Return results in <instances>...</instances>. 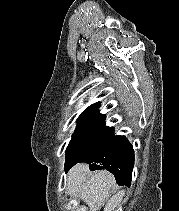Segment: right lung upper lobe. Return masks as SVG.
Returning a JSON list of instances; mask_svg holds the SVG:
<instances>
[{
	"instance_id": "1",
	"label": "right lung upper lobe",
	"mask_w": 179,
	"mask_h": 211,
	"mask_svg": "<svg viewBox=\"0 0 179 211\" xmlns=\"http://www.w3.org/2000/svg\"><path fill=\"white\" fill-rule=\"evenodd\" d=\"M100 107V103H94L90 105L83 113H90V112H98V108Z\"/></svg>"
}]
</instances>
